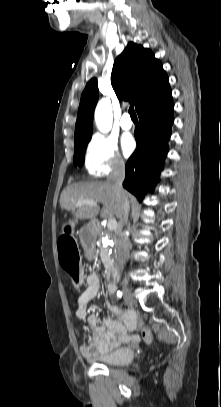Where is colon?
Instances as JSON below:
<instances>
[{
	"mask_svg": "<svg viewBox=\"0 0 221 407\" xmlns=\"http://www.w3.org/2000/svg\"><path fill=\"white\" fill-rule=\"evenodd\" d=\"M78 232L74 225H67L59 242V260L63 269L69 274L73 284L80 283L79 255L73 239H77ZM143 340L150 344L152 334L148 328L141 331Z\"/></svg>",
	"mask_w": 221,
	"mask_h": 407,
	"instance_id": "1",
	"label": "colon"
}]
</instances>
